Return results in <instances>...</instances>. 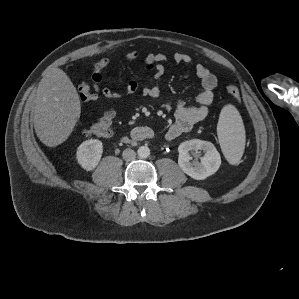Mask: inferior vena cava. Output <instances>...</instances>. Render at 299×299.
I'll use <instances>...</instances> for the list:
<instances>
[{
	"label": "inferior vena cava",
	"instance_id": "602c4592",
	"mask_svg": "<svg viewBox=\"0 0 299 299\" xmlns=\"http://www.w3.org/2000/svg\"><path fill=\"white\" fill-rule=\"evenodd\" d=\"M123 159L126 161H132L136 157V153L132 149H125L122 153Z\"/></svg>",
	"mask_w": 299,
	"mask_h": 299
}]
</instances>
